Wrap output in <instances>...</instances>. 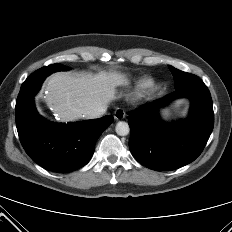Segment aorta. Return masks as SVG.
<instances>
[{
	"mask_svg": "<svg viewBox=\"0 0 232 232\" xmlns=\"http://www.w3.org/2000/svg\"><path fill=\"white\" fill-rule=\"evenodd\" d=\"M115 130H116V133L120 136H126L128 135L130 131L129 125L124 121H119L116 124Z\"/></svg>",
	"mask_w": 232,
	"mask_h": 232,
	"instance_id": "1",
	"label": "aorta"
}]
</instances>
